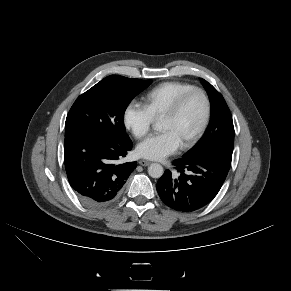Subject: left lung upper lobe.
I'll return each mask as SVG.
<instances>
[{
  "label": "left lung upper lobe",
  "mask_w": 291,
  "mask_h": 291,
  "mask_svg": "<svg viewBox=\"0 0 291 291\" xmlns=\"http://www.w3.org/2000/svg\"><path fill=\"white\" fill-rule=\"evenodd\" d=\"M211 102L209 127L199 145L186 156L220 150L229 153L234 147V126L230 110L222 95L207 81L201 79Z\"/></svg>",
  "instance_id": "5c2ea615"
}]
</instances>
